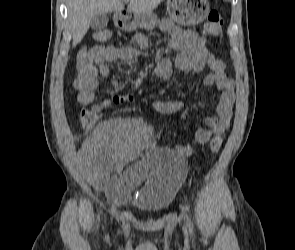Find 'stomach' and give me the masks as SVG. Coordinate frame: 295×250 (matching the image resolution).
Returning <instances> with one entry per match:
<instances>
[{"mask_svg": "<svg viewBox=\"0 0 295 250\" xmlns=\"http://www.w3.org/2000/svg\"><path fill=\"white\" fill-rule=\"evenodd\" d=\"M167 11L170 18L181 25L201 23L209 12L208 0H167ZM118 26L131 31L136 28L153 29L158 17L151 12H134L127 10L125 14H117Z\"/></svg>", "mask_w": 295, "mask_h": 250, "instance_id": "obj_1", "label": "stomach"}]
</instances>
